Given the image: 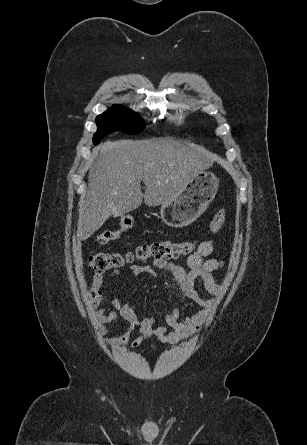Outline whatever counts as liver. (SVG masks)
Wrapping results in <instances>:
<instances>
[{
	"label": "liver",
	"instance_id": "obj_1",
	"mask_svg": "<svg viewBox=\"0 0 307 445\" xmlns=\"http://www.w3.org/2000/svg\"><path fill=\"white\" fill-rule=\"evenodd\" d=\"M89 184L80 208L77 237L86 241L110 214L122 216L141 206L165 204L183 192L199 170L209 168L214 154L197 144L173 138L107 140L95 148ZM141 180L146 188L141 190Z\"/></svg>",
	"mask_w": 307,
	"mask_h": 445
}]
</instances>
